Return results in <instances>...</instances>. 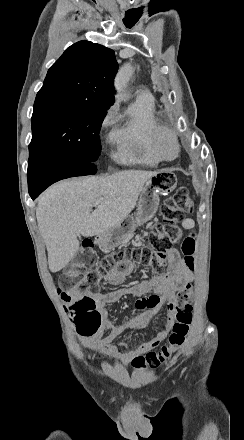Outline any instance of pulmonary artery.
Masks as SVG:
<instances>
[{"mask_svg": "<svg viewBox=\"0 0 244 440\" xmlns=\"http://www.w3.org/2000/svg\"><path fill=\"white\" fill-rule=\"evenodd\" d=\"M137 99L138 102H153L154 95L151 90H140Z\"/></svg>", "mask_w": 244, "mask_h": 440, "instance_id": "pulmonary-artery-1", "label": "pulmonary artery"}]
</instances>
